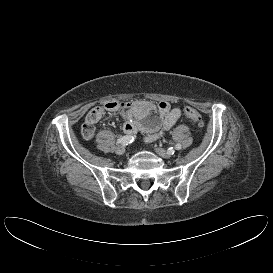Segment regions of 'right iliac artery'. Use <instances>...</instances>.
I'll use <instances>...</instances> for the list:
<instances>
[{
	"instance_id": "1",
	"label": "right iliac artery",
	"mask_w": 273,
	"mask_h": 273,
	"mask_svg": "<svg viewBox=\"0 0 273 273\" xmlns=\"http://www.w3.org/2000/svg\"><path fill=\"white\" fill-rule=\"evenodd\" d=\"M134 140H135V136L126 135V136H123V137H120L119 139H117V143L123 144V145H128V144L132 143Z\"/></svg>"
}]
</instances>
